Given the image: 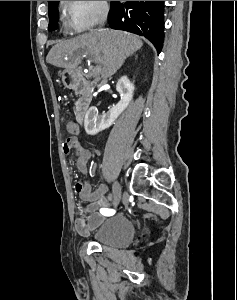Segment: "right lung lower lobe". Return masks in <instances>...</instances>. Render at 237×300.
<instances>
[{
  "mask_svg": "<svg viewBox=\"0 0 237 300\" xmlns=\"http://www.w3.org/2000/svg\"><path fill=\"white\" fill-rule=\"evenodd\" d=\"M111 28L148 38L161 51L164 40V1H112L108 16Z\"/></svg>",
  "mask_w": 237,
  "mask_h": 300,
  "instance_id": "obj_1",
  "label": "right lung lower lobe"
}]
</instances>
